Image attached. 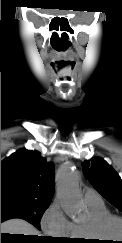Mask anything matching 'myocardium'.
Returning a JSON list of instances; mask_svg holds the SVG:
<instances>
[{"mask_svg": "<svg viewBox=\"0 0 122 243\" xmlns=\"http://www.w3.org/2000/svg\"><path fill=\"white\" fill-rule=\"evenodd\" d=\"M113 221H117L122 224V217L108 214L99 218L92 219L88 222V229L90 235L95 239H103L106 236L104 235V230L108 224Z\"/></svg>", "mask_w": 122, "mask_h": 243, "instance_id": "f54148a6", "label": "myocardium"}]
</instances>
